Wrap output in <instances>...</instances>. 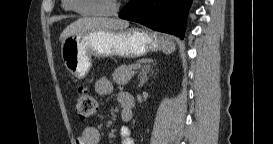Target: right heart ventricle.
Here are the masks:
<instances>
[{
  "label": "right heart ventricle",
  "mask_w": 273,
  "mask_h": 144,
  "mask_svg": "<svg viewBox=\"0 0 273 144\" xmlns=\"http://www.w3.org/2000/svg\"><path fill=\"white\" fill-rule=\"evenodd\" d=\"M63 8L66 10V11H69L71 8H70V4H69V0H64L63 1Z\"/></svg>",
  "instance_id": "1"
}]
</instances>
